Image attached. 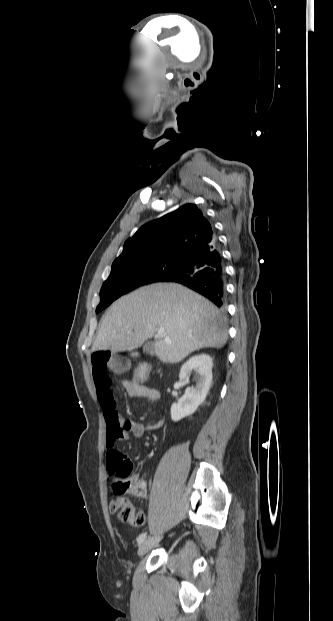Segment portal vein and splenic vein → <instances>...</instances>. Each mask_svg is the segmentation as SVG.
I'll list each match as a JSON object with an SVG mask.
<instances>
[{
    "mask_svg": "<svg viewBox=\"0 0 333 621\" xmlns=\"http://www.w3.org/2000/svg\"><path fill=\"white\" fill-rule=\"evenodd\" d=\"M164 332H165L164 328H159V329H158V335H160V336L164 337V339H165L166 341H169V339H168V338H167V336L164 334Z\"/></svg>",
    "mask_w": 333,
    "mask_h": 621,
    "instance_id": "18ae733b",
    "label": "portal vein and splenic vein"
}]
</instances>
